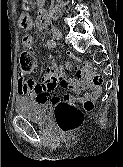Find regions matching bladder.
Returning a JSON list of instances; mask_svg holds the SVG:
<instances>
[{
    "label": "bladder",
    "instance_id": "obj_1",
    "mask_svg": "<svg viewBox=\"0 0 123 167\" xmlns=\"http://www.w3.org/2000/svg\"><path fill=\"white\" fill-rule=\"evenodd\" d=\"M51 108L52 103L48 101L19 98L15 102V110L18 115L38 124L47 122Z\"/></svg>",
    "mask_w": 123,
    "mask_h": 167
}]
</instances>
